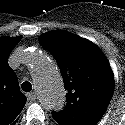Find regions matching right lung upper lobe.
I'll list each match as a JSON object with an SVG mask.
<instances>
[{
	"label": "right lung upper lobe",
	"mask_w": 125,
	"mask_h": 125,
	"mask_svg": "<svg viewBox=\"0 0 125 125\" xmlns=\"http://www.w3.org/2000/svg\"><path fill=\"white\" fill-rule=\"evenodd\" d=\"M20 40V36L0 38V125H14L27 100L8 64V57Z\"/></svg>",
	"instance_id": "cb5924a9"
}]
</instances>
